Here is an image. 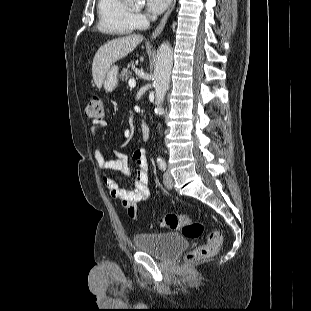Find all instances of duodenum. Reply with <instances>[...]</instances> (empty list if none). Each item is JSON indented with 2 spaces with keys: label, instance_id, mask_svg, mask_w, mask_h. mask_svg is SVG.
<instances>
[{
  "label": "duodenum",
  "instance_id": "1",
  "mask_svg": "<svg viewBox=\"0 0 311 311\" xmlns=\"http://www.w3.org/2000/svg\"><path fill=\"white\" fill-rule=\"evenodd\" d=\"M142 140L147 141L150 138V127L147 123L141 125Z\"/></svg>",
  "mask_w": 311,
  "mask_h": 311
}]
</instances>
